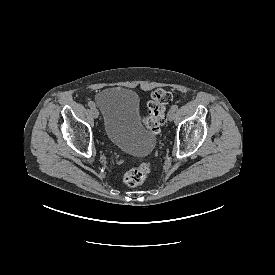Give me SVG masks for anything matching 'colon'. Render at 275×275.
Here are the masks:
<instances>
[{"label":"colon","mask_w":275,"mask_h":275,"mask_svg":"<svg viewBox=\"0 0 275 275\" xmlns=\"http://www.w3.org/2000/svg\"><path fill=\"white\" fill-rule=\"evenodd\" d=\"M172 95L165 89H156L147 103V115L143 116V123L153 134H158L166 122L165 108L171 102ZM150 165L142 162L138 166L124 172L123 181L128 186L140 185L149 175Z\"/></svg>","instance_id":"obj_1"}]
</instances>
